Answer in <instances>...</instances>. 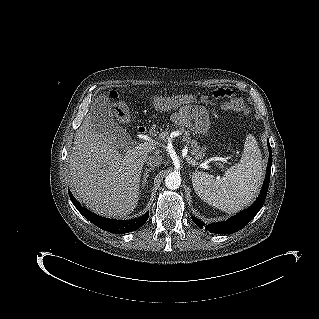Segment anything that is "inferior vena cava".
<instances>
[{
	"instance_id": "inferior-vena-cava-1",
	"label": "inferior vena cava",
	"mask_w": 319,
	"mask_h": 319,
	"mask_svg": "<svg viewBox=\"0 0 319 319\" xmlns=\"http://www.w3.org/2000/svg\"><path fill=\"white\" fill-rule=\"evenodd\" d=\"M162 160L163 158L160 155H151L146 159V164L151 168H155L162 164Z\"/></svg>"
}]
</instances>
